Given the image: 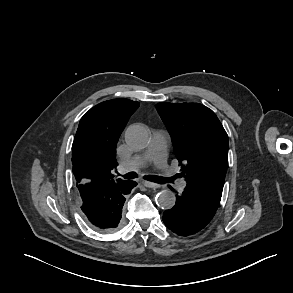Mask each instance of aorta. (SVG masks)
I'll return each instance as SVG.
<instances>
[{"mask_svg":"<svg viewBox=\"0 0 293 293\" xmlns=\"http://www.w3.org/2000/svg\"><path fill=\"white\" fill-rule=\"evenodd\" d=\"M125 139L130 147L143 149L149 142V132L143 125H132L127 129ZM175 202V194L169 189H164L156 195V203L162 209L168 210L173 208Z\"/></svg>","mask_w":293,"mask_h":293,"instance_id":"aorta-1","label":"aorta"}]
</instances>
